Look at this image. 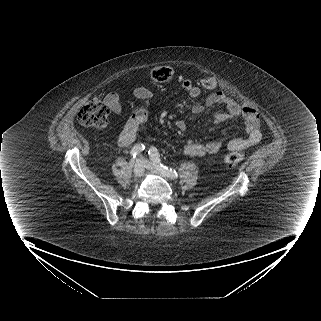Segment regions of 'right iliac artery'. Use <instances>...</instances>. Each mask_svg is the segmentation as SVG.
Wrapping results in <instances>:
<instances>
[{
  "label": "right iliac artery",
  "instance_id": "obj_1",
  "mask_svg": "<svg viewBox=\"0 0 321 321\" xmlns=\"http://www.w3.org/2000/svg\"><path fill=\"white\" fill-rule=\"evenodd\" d=\"M144 149V144H136L130 151L131 157L135 159Z\"/></svg>",
  "mask_w": 321,
  "mask_h": 321
}]
</instances>
